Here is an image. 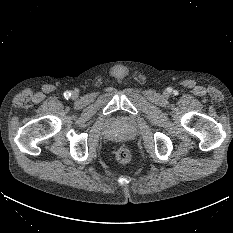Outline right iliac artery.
<instances>
[{"label":"right iliac artery","instance_id":"1","mask_svg":"<svg viewBox=\"0 0 233 233\" xmlns=\"http://www.w3.org/2000/svg\"><path fill=\"white\" fill-rule=\"evenodd\" d=\"M64 96H65L66 98H68L69 96H71V93H70L69 91H66V92L64 93Z\"/></svg>","mask_w":233,"mask_h":233}]
</instances>
